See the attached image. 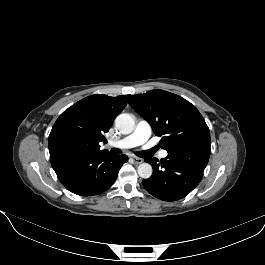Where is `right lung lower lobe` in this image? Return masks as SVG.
<instances>
[{
    "mask_svg": "<svg viewBox=\"0 0 265 265\" xmlns=\"http://www.w3.org/2000/svg\"><path fill=\"white\" fill-rule=\"evenodd\" d=\"M126 155L108 152L67 156L51 160L60 182L72 193L92 196L104 192L115 182Z\"/></svg>",
    "mask_w": 265,
    "mask_h": 265,
    "instance_id": "1",
    "label": "right lung lower lobe"
}]
</instances>
